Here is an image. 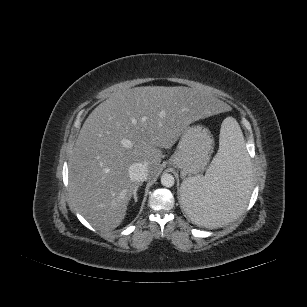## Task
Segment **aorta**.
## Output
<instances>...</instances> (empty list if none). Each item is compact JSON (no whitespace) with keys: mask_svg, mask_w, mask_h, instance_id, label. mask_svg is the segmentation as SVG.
Returning a JSON list of instances; mask_svg holds the SVG:
<instances>
[{"mask_svg":"<svg viewBox=\"0 0 307 307\" xmlns=\"http://www.w3.org/2000/svg\"><path fill=\"white\" fill-rule=\"evenodd\" d=\"M174 183H175V179H174V176L172 174L164 173L161 176V184L164 187L170 188L174 185Z\"/></svg>","mask_w":307,"mask_h":307,"instance_id":"obj_1","label":"aorta"}]
</instances>
